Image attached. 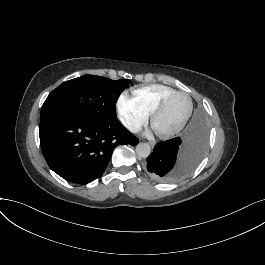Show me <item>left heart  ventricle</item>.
I'll use <instances>...</instances> for the list:
<instances>
[{"label":"left heart ventricle","mask_w":265,"mask_h":265,"mask_svg":"<svg viewBox=\"0 0 265 265\" xmlns=\"http://www.w3.org/2000/svg\"><path fill=\"white\" fill-rule=\"evenodd\" d=\"M187 106V100L183 95H174L162 107L156 120L158 130H168L176 126L182 119Z\"/></svg>","instance_id":"obj_1"}]
</instances>
